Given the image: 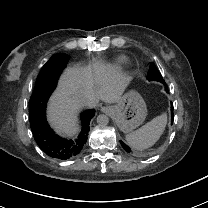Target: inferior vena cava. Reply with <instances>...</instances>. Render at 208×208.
<instances>
[{"label": "inferior vena cava", "instance_id": "obj_1", "mask_svg": "<svg viewBox=\"0 0 208 208\" xmlns=\"http://www.w3.org/2000/svg\"><path fill=\"white\" fill-rule=\"evenodd\" d=\"M79 103L82 105H88L90 103L89 99L85 97L83 94H78Z\"/></svg>", "mask_w": 208, "mask_h": 208}]
</instances>
